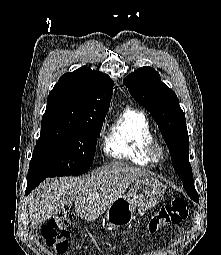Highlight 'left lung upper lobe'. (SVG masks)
Here are the masks:
<instances>
[{
  "mask_svg": "<svg viewBox=\"0 0 221 255\" xmlns=\"http://www.w3.org/2000/svg\"><path fill=\"white\" fill-rule=\"evenodd\" d=\"M123 82L133 98L150 112L157 123L186 193L192 200L199 202L188 160L189 137L185 114L176 94L161 82L158 72L147 66L130 73Z\"/></svg>",
  "mask_w": 221,
  "mask_h": 255,
  "instance_id": "obj_1",
  "label": "left lung upper lobe"
}]
</instances>
